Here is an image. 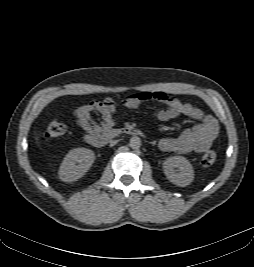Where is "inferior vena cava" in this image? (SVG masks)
Here are the masks:
<instances>
[{"label": "inferior vena cava", "instance_id": "1", "mask_svg": "<svg viewBox=\"0 0 254 267\" xmlns=\"http://www.w3.org/2000/svg\"><path fill=\"white\" fill-rule=\"evenodd\" d=\"M117 142H118V140H113V141H111V142H110V146L112 147V146L116 145Z\"/></svg>", "mask_w": 254, "mask_h": 267}]
</instances>
